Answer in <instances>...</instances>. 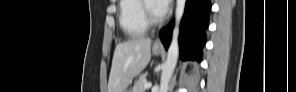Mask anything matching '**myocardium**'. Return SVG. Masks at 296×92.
Instances as JSON below:
<instances>
[{
	"instance_id": "obj_1",
	"label": "myocardium",
	"mask_w": 296,
	"mask_h": 92,
	"mask_svg": "<svg viewBox=\"0 0 296 92\" xmlns=\"http://www.w3.org/2000/svg\"><path fill=\"white\" fill-rule=\"evenodd\" d=\"M151 1H143V19L147 26H156L161 22V18L156 17L151 10Z\"/></svg>"
}]
</instances>
